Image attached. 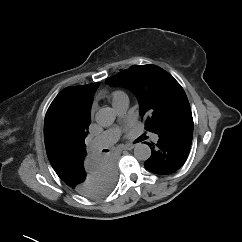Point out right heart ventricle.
<instances>
[{"label":"right heart ventricle","instance_id":"e07e8e85","mask_svg":"<svg viewBox=\"0 0 242 242\" xmlns=\"http://www.w3.org/2000/svg\"><path fill=\"white\" fill-rule=\"evenodd\" d=\"M124 93L121 91H115L112 93V101L114 102L119 96L123 95Z\"/></svg>","mask_w":242,"mask_h":242}]
</instances>
